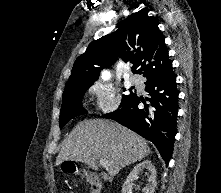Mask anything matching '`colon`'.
<instances>
[{
    "instance_id": "obj_1",
    "label": "colon",
    "mask_w": 221,
    "mask_h": 193,
    "mask_svg": "<svg viewBox=\"0 0 221 193\" xmlns=\"http://www.w3.org/2000/svg\"><path fill=\"white\" fill-rule=\"evenodd\" d=\"M65 172H74L75 166L74 165H67L64 167ZM88 180L91 184V193H100L101 184L99 180L93 176H88Z\"/></svg>"
}]
</instances>
